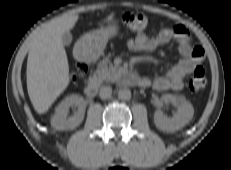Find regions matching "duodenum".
I'll return each mask as SVG.
<instances>
[{
    "label": "duodenum",
    "instance_id": "1",
    "mask_svg": "<svg viewBox=\"0 0 231 170\" xmlns=\"http://www.w3.org/2000/svg\"><path fill=\"white\" fill-rule=\"evenodd\" d=\"M122 79L126 83H129V84H139L140 83L137 74L129 68L125 69V72L122 76ZM100 86H101V80L99 77L95 76V77L91 78L90 82L88 83V85L85 88L86 96L90 99L94 98L97 95V93L100 89Z\"/></svg>",
    "mask_w": 231,
    "mask_h": 170
}]
</instances>
